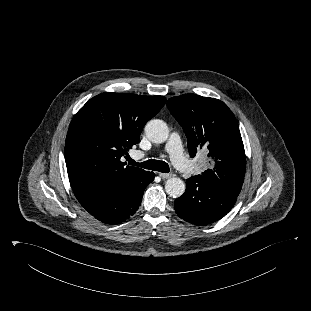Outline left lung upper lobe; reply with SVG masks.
Wrapping results in <instances>:
<instances>
[{"mask_svg": "<svg viewBox=\"0 0 311 311\" xmlns=\"http://www.w3.org/2000/svg\"><path fill=\"white\" fill-rule=\"evenodd\" d=\"M171 114L183 127L189 154H206L211 168L201 176L238 197L245 175L246 157L237 120L222 101L195 94L172 97Z\"/></svg>", "mask_w": 311, "mask_h": 311, "instance_id": "5c2ea615", "label": "left lung upper lobe"}]
</instances>
